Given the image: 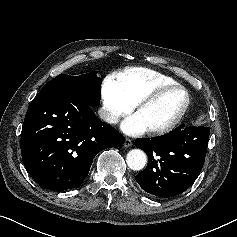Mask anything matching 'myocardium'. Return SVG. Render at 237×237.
I'll return each mask as SVG.
<instances>
[{"label":"myocardium","instance_id":"f54148a6","mask_svg":"<svg viewBox=\"0 0 237 237\" xmlns=\"http://www.w3.org/2000/svg\"><path fill=\"white\" fill-rule=\"evenodd\" d=\"M174 90H181L185 93L186 99H185L184 105L182 106V108L180 109L178 114L172 119L171 122H169L168 124H166L165 126H162V127L148 129L147 130L148 134H150V135H163V134L171 132L181 122L182 118L186 114V112H187V110L190 106V102H191L190 94H189L188 90L180 84L164 85V86H161V87L157 88L156 90H154L150 94L146 95L145 97L140 99L134 105V108H133L134 111L138 112L139 110H141L145 106L157 101L164 94H166L170 91H174Z\"/></svg>","mask_w":237,"mask_h":237}]
</instances>
